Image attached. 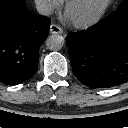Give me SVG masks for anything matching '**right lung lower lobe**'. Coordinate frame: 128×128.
I'll use <instances>...</instances> for the list:
<instances>
[{"mask_svg": "<svg viewBox=\"0 0 128 128\" xmlns=\"http://www.w3.org/2000/svg\"><path fill=\"white\" fill-rule=\"evenodd\" d=\"M49 21L28 10L24 0H0L1 83L16 85L35 73Z\"/></svg>", "mask_w": 128, "mask_h": 128, "instance_id": "obj_1", "label": "right lung lower lobe"}]
</instances>
